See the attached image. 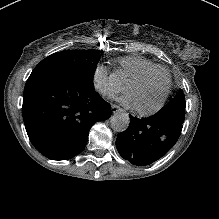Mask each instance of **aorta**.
<instances>
[{
    "mask_svg": "<svg viewBox=\"0 0 219 219\" xmlns=\"http://www.w3.org/2000/svg\"><path fill=\"white\" fill-rule=\"evenodd\" d=\"M130 117L127 113L118 112L111 118V127L114 131L123 132L128 129Z\"/></svg>",
    "mask_w": 219,
    "mask_h": 219,
    "instance_id": "1",
    "label": "aorta"
}]
</instances>
